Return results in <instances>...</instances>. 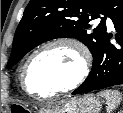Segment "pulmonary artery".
Masks as SVG:
<instances>
[{
	"label": "pulmonary artery",
	"instance_id": "1",
	"mask_svg": "<svg viewBox=\"0 0 123 113\" xmlns=\"http://www.w3.org/2000/svg\"><path fill=\"white\" fill-rule=\"evenodd\" d=\"M107 25L109 27H112L113 26L112 20L110 18H107Z\"/></svg>",
	"mask_w": 123,
	"mask_h": 113
}]
</instances>
